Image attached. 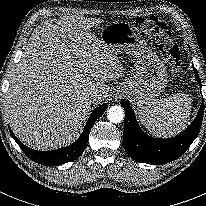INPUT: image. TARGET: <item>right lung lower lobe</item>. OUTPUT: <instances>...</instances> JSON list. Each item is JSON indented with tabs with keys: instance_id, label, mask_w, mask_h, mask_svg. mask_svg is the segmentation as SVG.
<instances>
[{
	"instance_id": "1",
	"label": "right lung lower lobe",
	"mask_w": 206,
	"mask_h": 206,
	"mask_svg": "<svg viewBox=\"0 0 206 206\" xmlns=\"http://www.w3.org/2000/svg\"><path fill=\"white\" fill-rule=\"evenodd\" d=\"M107 104L104 103L101 106L97 107L93 110L90 115L83 133L81 136L70 146L53 150V151H36L28 148L24 144H22L10 130V134L22 151L34 162L45 165V166H56L61 165L63 163H67L77 159L85 150L86 145L89 139L90 130L94 124V122L98 119V117L107 109Z\"/></svg>"
}]
</instances>
